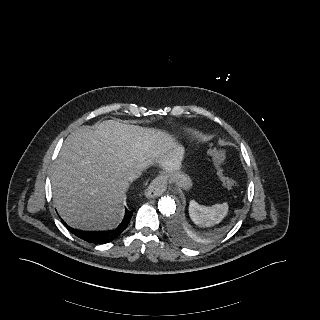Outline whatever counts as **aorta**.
<instances>
[{"label":"aorta","mask_w":320,"mask_h":320,"mask_svg":"<svg viewBox=\"0 0 320 320\" xmlns=\"http://www.w3.org/2000/svg\"><path fill=\"white\" fill-rule=\"evenodd\" d=\"M158 209L165 216L174 214L176 210L175 199L170 196H164L160 198L158 201Z\"/></svg>","instance_id":"762f6f07"}]
</instances>
